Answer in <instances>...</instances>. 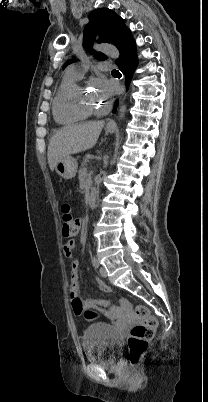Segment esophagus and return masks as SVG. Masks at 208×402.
I'll list each match as a JSON object with an SVG mask.
<instances>
[{"label":"esophagus","instance_id":"obj_1","mask_svg":"<svg viewBox=\"0 0 208 402\" xmlns=\"http://www.w3.org/2000/svg\"><path fill=\"white\" fill-rule=\"evenodd\" d=\"M108 125H114L113 122H108Z\"/></svg>","mask_w":208,"mask_h":402}]
</instances>
